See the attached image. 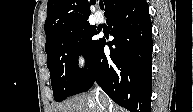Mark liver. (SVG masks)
<instances>
[{"mask_svg":"<svg viewBox=\"0 0 193 112\" xmlns=\"http://www.w3.org/2000/svg\"><path fill=\"white\" fill-rule=\"evenodd\" d=\"M107 109L102 107L97 99L94 92L75 96L57 106V112H125L117 106H112L108 100H106ZM107 110V111H106Z\"/></svg>","mask_w":193,"mask_h":112,"instance_id":"6515ba94","label":"liver"}]
</instances>
